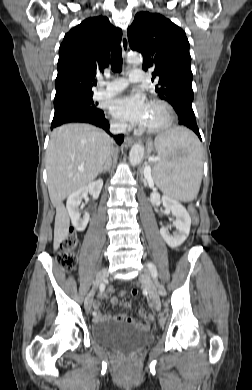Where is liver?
I'll list each match as a JSON object with an SVG mask.
<instances>
[{"label": "liver", "mask_w": 252, "mask_h": 390, "mask_svg": "<svg viewBox=\"0 0 252 390\" xmlns=\"http://www.w3.org/2000/svg\"><path fill=\"white\" fill-rule=\"evenodd\" d=\"M112 144L108 134L89 124H67L51 133L46 169L50 200L56 208L54 250L69 234L70 219L63 200L97 177Z\"/></svg>", "instance_id": "liver-1"}]
</instances>
